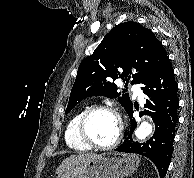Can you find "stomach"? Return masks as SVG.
<instances>
[{
	"label": "stomach",
	"mask_w": 194,
	"mask_h": 178,
	"mask_svg": "<svg viewBox=\"0 0 194 178\" xmlns=\"http://www.w3.org/2000/svg\"><path fill=\"white\" fill-rule=\"evenodd\" d=\"M138 164L139 158L133 154L102 153L62 172L57 178H123L133 173Z\"/></svg>",
	"instance_id": "obj_1"
}]
</instances>
